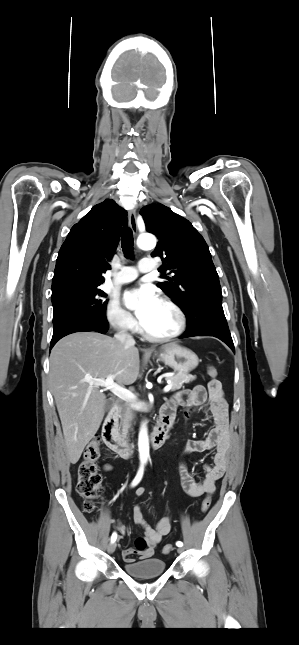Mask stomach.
I'll return each mask as SVG.
<instances>
[{"mask_svg": "<svg viewBox=\"0 0 299 645\" xmlns=\"http://www.w3.org/2000/svg\"><path fill=\"white\" fill-rule=\"evenodd\" d=\"M159 359L178 373L183 374L191 372L199 363L198 356L192 350L178 345L164 350L160 353Z\"/></svg>", "mask_w": 299, "mask_h": 645, "instance_id": "0dacf381", "label": "stomach"}]
</instances>
